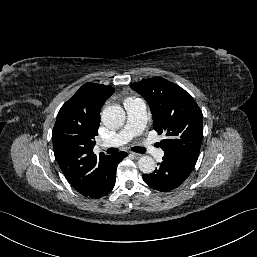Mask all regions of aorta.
I'll use <instances>...</instances> for the list:
<instances>
[{"label": "aorta", "instance_id": "obj_1", "mask_svg": "<svg viewBox=\"0 0 257 257\" xmlns=\"http://www.w3.org/2000/svg\"><path fill=\"white\" fill-rule=\"evenodd\" d=\"M101 119L106 127L110 129H117L124 125L126 114L122 107L118 105H112L106 107L103 110ZM138 167L143 173L150 174L154 172L156 164L152 157L142 156L138 160Z\"/></svg>", "mask_w": 257, "mask_h": 257}]
</instances>
